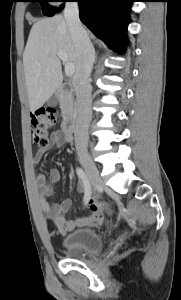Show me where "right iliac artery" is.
Returning a JSON list of instances; mask_svg holds the SVG:
<instances>
[{"mask_svg":"<svg viewBox=\"0 0 181 300\" xmlns=\"http://www.w3.org/2000/svg\"><path fill=\"white\" fill-rule=\"evenodd\" d=\"M77 176L81 179L84 189H85V197L88 199L91 196V185L88 177L82 168L78 167L76 169Z\"/></svg>","mask_w":181,"mask_h":300,"instance_id":"1","label":"right iliac artery"}]
</instances>
